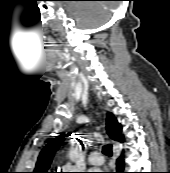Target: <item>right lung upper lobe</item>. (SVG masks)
<instances>
[{
  "label": "right lung upper lobe",
  "mask_w": 170,
  "mask_h": 173,
  "mask_svg": "<svg viewBox=\"0 0 170 173\" xmlns=\"http://www.w3.org/2000/svg\"><path fill=\"white\" fill-rule=\"evenodd\" d=\"M106 129L108 135L115 141L123 142V136L121 135V125L116 120L112 113H108ZM65 134H61L49 142L41 151L36 167L33 173H48V169L52 162L54 153L58 150L60 145L63 143Z\"/></svg>",
  "instance_id": "right-lung-upper-lobe-1"
}]
</instances>
